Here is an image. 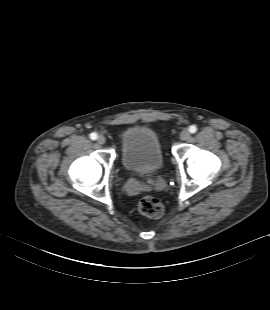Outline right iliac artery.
Listing matches in <instances>:
<instances>
[{
    "mask_svg": "<svg viewBox=\"0 0 270 310\" xmlns=\"http://www.w3.org/2000/svg\"><path fill=\"white\" fill-rule=\"evenodd\" d=\"M90 138L92 139V140H96L97 138H98V135L96 134V133H91L90 134Z\"/></svg>",
    "mask_w": 270,
    "mask_h": 310,
    "instance_id": "obj_1",
    "label": "right iliac artery"
}]
</instances>
